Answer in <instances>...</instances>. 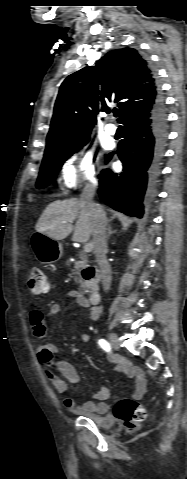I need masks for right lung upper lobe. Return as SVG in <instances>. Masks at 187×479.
<instances>
[{
	"mask_svg": "<svg viewBox=\"0 0 187 479\" xmlns=\"http://www.w3.org/2000/svg\"><path fill=\"white\" fill-rule=\"evenodd\" d=\"M156 75L136 49L111 51L95 67H84L61 84L46 150L72 145L89 135L100 111L116 103L121 122L137 107L160 95ZM45 150V151H46Z\"/></svg>",
	"mask_w": 187,
	"mask_h": 479,
	"instance_id": "obj_1",
	"label": "right lung upper lobe"
}]
</instances>
